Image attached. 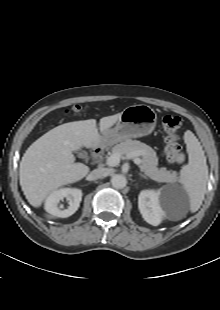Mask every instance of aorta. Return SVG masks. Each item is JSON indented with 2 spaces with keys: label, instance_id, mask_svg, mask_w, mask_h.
<instances>
[{
  "label": "aorta",
  "instance_id": "obj_1",
  "mask_svg": "<svg viewBox=\"0 0 220 310\" xmlns=\"http://www.w3.org/2000/svg\"><path fill=\"white\" fill-rule=\"evenodd\" d=\"M111 184L116 189H123L127 185V179L123 175L115 174L111 178Z\"/></svg>",
  "mask_w": 220,
  "mask_h": 310
}]
</instances>
